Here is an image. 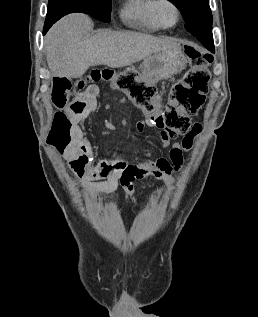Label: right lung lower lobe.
<instances>
[{
    "label": "right lung lower lobe",
    "instance_id": "1",
    "mask_svg": "<svg viewBox=\"0 0 258 317\" xmlns=\"http://www.w3.org/2000/svg\"><path fill=\"white\" fill-rule=\"evenodd\" d=\"M73 12L90 14L95 17V11L89 2L84 0H51L48 3V12L45 20L43 34L61 17Z\"/></svg>",
    "mask_w": 258,
    "mask_h": 317
}]
</instances>
